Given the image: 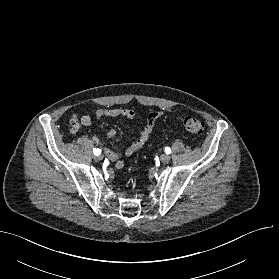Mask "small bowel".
<instances>
[{
  "instance_id": "small-bowel-1",
  "label": "small bowel",
  "mask_w": 279,
  "mask_h": 279,
  "mask_svg": "<svg viewBox=\"0 0 279 279\" xmlns=\"http://www.w3.org/2000/svg\"><path fill=\"white\" fill-rule=\"evenodd\" d=\"M165 113H176V110L169 109V110L153 111L149 113L144 126L139 132V136L134 141H132L127 145L124 152V155L126 157H129L132 154H134L145 144V142L148 140L149 136L154 130L155 121ZM95 116L98 120H102L104 118H116V117L133 119L135 113L133 110L125 109V108L98 109L95 112ZM91 123H92L91 116L89 115L82 116L81 125L88 127L91 125ZM79 127L80 126L78 125L77 128L73 131H77ZM106 135L108 138L111 139L116 135V131L114 129H109ZM93 141L104 150V153L109 159L116 161L115 167L117 169H121L124 166L123 156L120 153L114 152L109 148H107L97 136L93 137Z\"/></svg>"
}]
</instances>
